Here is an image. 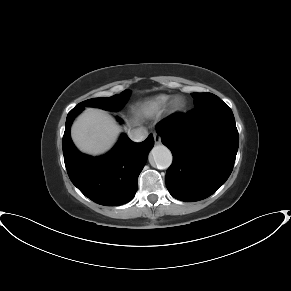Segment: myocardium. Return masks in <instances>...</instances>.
<instances>
[{
	"instance_id": "f54148a6",
	"label": "myocardium",
	"mask_w": 291,
	"mask_h": 291,
	"mask_svg": "<svg viewBox=\"0 0 291 291\" xmlns=\"http://www.w3.org/2000/svg\"><path fill=\"white\" fill-rule=\"evenodd\" d=\"M184 108V101L181 98H178L174 102V107L171 109L172 113L181 112Z\"/></svg>"
}]
</instances>
